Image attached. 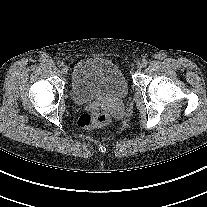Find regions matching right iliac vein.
I'll use <instances>...</instances> for the list:
<instances>
[{
	"instance_id": "63e3f726",
	"label": "right iliac vein",
	"mask_w": 207,
	"mask_h": 207,
	"mask_svg": "<svg viewBox=\"0 0 207 207\" xmlns=\"http://www.w3.org/2000/svg\"><path fill=\"white\" fill-rule=\"evenodd\" d=\"M61 72L66 75L68 73V67L66 65L62 66Z\"/></svg>"
}]
</instances>
